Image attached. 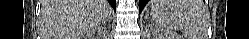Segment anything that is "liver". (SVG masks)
<instances>
[{
  "label": "liver",
  "instance_id": "1",
  "mask_svg": "<svg viewBox=\"0 0 249 39\" xmlns=\"http://www.w3.org/2000/svg\"><path fill=\"white\" fill-rule=\"evenodd\" d=\"M110 11L107 0H41L42 39H87Z\"/></svg>",
  "mask_w": 249,
  "mask_h": 39
}]
</instances>
